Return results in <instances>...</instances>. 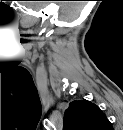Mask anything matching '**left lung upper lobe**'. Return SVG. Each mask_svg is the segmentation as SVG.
Segmentation results:
<instances>
[{
	"label": "left lung upper lobe",
	"mask_w": 123,
	"mask_h": 130,
	"mask_svg": "<svg viewBox=\"0 0 123 130\" xmlns=\"http://www.w3.org/2000/svg\"><path fill=\"white\" fill-rule=\"evenodd\" d=\"M65 130H111L112 125L102 110L88 100L74 101L64 115Z\"/></svg>",
	"instance_id": "1"
}]
</instances>
